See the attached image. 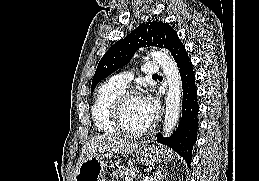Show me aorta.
Wrapping results in <instances>:
<instances>
[{
	"instance_id": "aorta-1",
	"label": "aorta",
	"mask_w": 259,
	"mask_h": 181,
	"mask_svg": "<svg viewBox=\"0 0 259 181\" xmlns=\"http://www.w3.org/2000/svg\"><path fill=\"white\" fill-rule=\"evenodd\" d=\"M150 55L161 66L167 81L168 91L162 133L164 137H168L179 119L182 96L181 76L176 62L167 52L152 51Z\"/></svg>"
}]
</instances>
